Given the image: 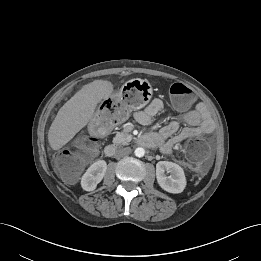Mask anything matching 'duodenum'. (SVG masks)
I'll list each match as a JSON object with an SVG mask.
<instances>
[{
	"label": "duodenum",
	"mask_w": 261,
	"mask_h": 261,
	"mask_svg": "<svg viewBox=\"0 0 261 261\" xmlns=\"http://www.w3.org/2000/svg\"><path fill=\"white\" fill-rule=\"evenodd\" d=\"M137 143L142 146L152 147L154 145V140L152 136L144 134L138 137ZM116 150L117 146L115 144L110 143L106 145V147L104 148V153L106 156L111 157L116 153Z\"/></svg>",
	"instance_id": "410a0bca"
}]
</instances>
